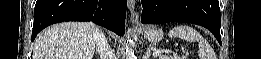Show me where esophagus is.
I'll return each mask as SVG.
<instances>
[{"label": "esophagus", "instance_id": "obj_1", "mask_svg": "<svg viewBox=\"0 0 261 59\" xmlns=\"http://www.w3.org/2000/svg\"><path fill=\"white\" fill-rule=\"evenodd\" d=\"M127 7L131 14V22L134 24H138L139 22V13L135 10V1L134 0H128L127 1Z\"/></svg>", "mask_w": 261, "mask_h": 59}]
</instances>
